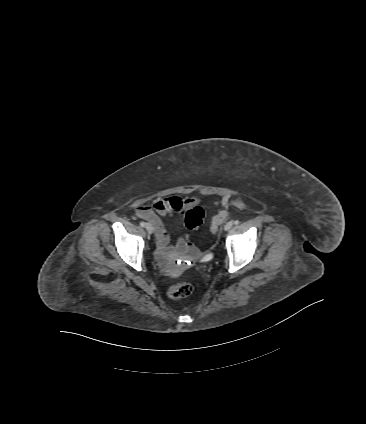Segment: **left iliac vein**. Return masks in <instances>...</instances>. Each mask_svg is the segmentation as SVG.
<instances>
[{"label":"left iliac vein","mask_w":366,"mask_h":424,"mask_svg":"<svg viewBox=\"0 0 366 424\" xmlns=\"http://www.w3.org/2000/svg\"><path fill=\"white\" fill-rule=\"evenodd\" d=\"M232 226H233V223L230 221V222H227L225 225H224V229L226 230V231H228V230H230L231 228H232Z\"/></svg>","instance_id":"4c4485c4"}]
</instances>
